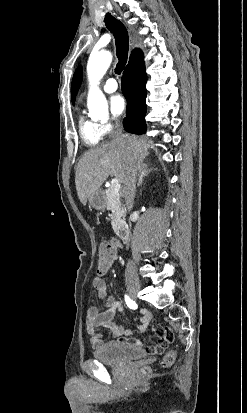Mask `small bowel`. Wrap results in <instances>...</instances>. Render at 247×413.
Here are the masks:
<instances>
[{"mask_svg":"<svg viewBox=\"0 0 247 413\" xmlns=\"http://www.w3.org/2000/svg\"><path fill=\"white\" fill-rule=\"evenodd\" d=\"M107 271V270H106ZM105 271V272H106ZM104 272V274H105ZM92 286L97 292L99 299L104 300L105 310L100 312L97 306H89L86 313V330L90 336V343L93 348L104 347L105 349H139L141 342L136 334H132L131 330H125L121 325L115 324L113 318L117 312L124 313V305L116 300L113 296L108 295L107 286L103 277H94ZM152 320V313L147 309H142L134 321L139 322V330L143 331L147 328ZM99 328L107 329L114 337L112 340L103 342L102 335L97 331ZM150 329L155 331V336L160 342H154L153 346H149L147 352L149 355H164L166 349L170 347V343L176 336L174 329H161L159 322H152ZM158 347V348H157Z\"/></svg>","mask_w":247,"mask_h":413,"instance_id":"obj_1","label":"small bowel"}]
</instances>
